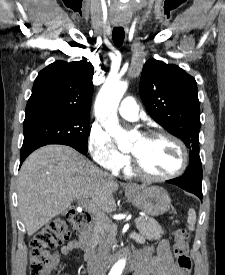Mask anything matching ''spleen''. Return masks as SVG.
Returning a JSON list of instances; mask_svg holds the SVG:
<instances>
[{
	"label": "spleen",
	"instance_id": "1",
	"mask_svg": "<svg viewBox=\"0 0 225 275\" xmlns=\"http://www.w3.org/2000/svg\"><path fill=\"white\" fill-rule=\"evenodd\" d=\"M187 223L189 230L193 231L196 223V212L193 208H190L188 211Z\"/></svg>",
	"mask_w": 225,
	"mask_h": 275
}]
</instances>
